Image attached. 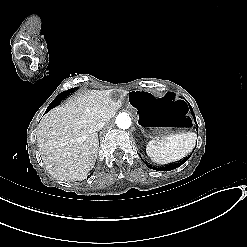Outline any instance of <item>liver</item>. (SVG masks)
<instances>
[{"mask_svg":"<svg viewBox=\"0 0 247 247\" xmlns=\"http://www.w3.org/2000/svg\"><path fill=\"white\" fill-rule=\"evenodd\" d=\"M120 107L108 90H91L45 114L38 125L37 143L48 173L67 182L84 180L98 154L94 128L98 122L108 123Z\"/></svg>","mask_w":247,"mask_h":247,"instance_id":"obj_1","label":"liver"}]
</instances>
